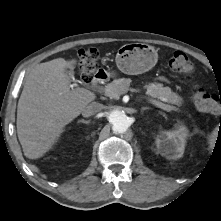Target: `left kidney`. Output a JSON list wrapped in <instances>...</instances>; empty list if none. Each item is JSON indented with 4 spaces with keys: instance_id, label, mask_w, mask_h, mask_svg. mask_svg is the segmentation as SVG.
<instances>
[{
    "instance_id": "obj_1",
    "label": "left kidney",
    "mask_w": 221,
    "mask_h": 221,
    "mask_svg": "<svg viewBox=\"0 0 221 221\" xmlns=\"http://www.w3.org/2000/svg\"><path fill=\"white\" fill-rule=\"evenodd\" d=\"M188 130L176 124L172 131H162L156 138L159 153L167 159H178L183 156Z\"/></svg>"
}]
</instances>
